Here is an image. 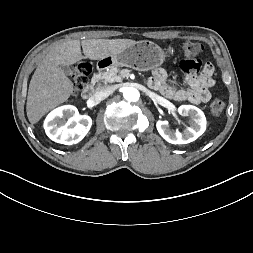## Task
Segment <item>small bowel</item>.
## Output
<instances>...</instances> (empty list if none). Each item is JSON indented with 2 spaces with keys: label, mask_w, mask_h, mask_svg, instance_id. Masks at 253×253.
Wrapping results in <instances>:
<instances>
[{
  "label": "small bowel",
  "mask_w": 253,
  "mask_h": 253,
  "mask_svg": "<svg viewBox=\"0 0 253 253\" xmlns=\"http://www.w3.org/2000/svg\"><path fill=\"white\" fill-rule=\"evenodd\" d=\"M178 71L182 77L186 78L188 88L174 86L168 78L167 71L162 67L153 71L148 82L149 86L174 101H188L194 104L207 103L211 98L209 89L214 85L212 63L209 61L202 63L198 57L186 58L180 62ZM198 73L201 74L198 75Z\"/></svg>",
  "instance_id": "small-bowel-1"
}]
</instances>
